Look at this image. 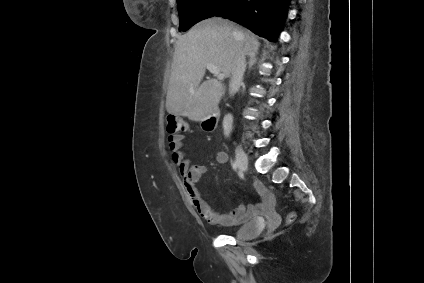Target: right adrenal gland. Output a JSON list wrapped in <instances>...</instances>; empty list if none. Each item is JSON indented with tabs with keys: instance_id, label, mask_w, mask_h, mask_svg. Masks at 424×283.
<instances>
[{
	"instance_id": "obj_1",
	"label": "right adrenal gland",
	"mask_w": 424,
	"mask_h": 283,
	"mask_svg": "<svg viewBox=\"0 0 424 283\" xmlns=\"http://www.w3.org/2000/svg\"><path fill=\"white\" fill-rule=\"evenodd\" d=\"M257 54L258 52L256 51L255 53H252L249 55V62H248V69H252L253 65L257 62Z\"/></svg>"
}]
</instances>
